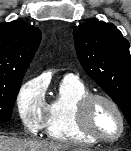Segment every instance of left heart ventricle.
<instances>
[{
	"instance_id": "obj_1",
	"label": "left heart ventricle",
	"mask_w": 131,
	"mask_h": 151,
	"mask_svg": "<svg viewBox=\"0 0 131 151\" xmlns=\"http://www.w3.org/2000/svg\"><path fill=\"white\" fill-rule=\"evenodd\" d=\"M93 129L101 136L115 137L120 131V121L111 106L104 102L95 104L91 115Z\"/></svg>"
}]
</instances>
